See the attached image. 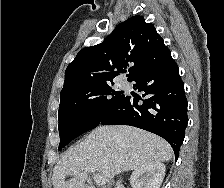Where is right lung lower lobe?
Segmentation results:
<instances>
[{"instance_id": "98d812e1", "label": "right lung lower lobe", "mask_w": 224, "mask_h": 188, "mask_svg": "<svg viewBox=\"0 0 224 188\" xmlns=\"http://www.w3.org/2000/svg\"><path fill=\"white\" fill-rule=\"evenodd\" d=\"M130 81L146 98L126 95L101 124L130 125L155 133L170 143L177 160L188 123L187 99L171 53Z\"/></svg>"}]
</instances>
